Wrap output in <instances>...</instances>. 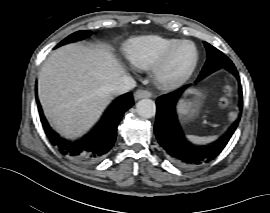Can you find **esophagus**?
Returning <instances> with one entry per match:
<instances>
[{
  "mask_svg": "<svg viewBox=\"0 0 270 213\" xmlns=\"http://www.w3.org/2000/svg\"><path fill=\"white\" fill-rule=\"evenodd\" d=\"M151 96H152V94L149 91H147V90H138L134 94L135 100H139V99H142V98H149Z\"/></svg>",
  "mask_w": 270,
  "mask_h": 213,
  "instance_id": "obj_1",
  "label": "esophagus"
}]
</instances>
